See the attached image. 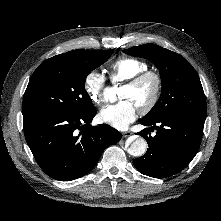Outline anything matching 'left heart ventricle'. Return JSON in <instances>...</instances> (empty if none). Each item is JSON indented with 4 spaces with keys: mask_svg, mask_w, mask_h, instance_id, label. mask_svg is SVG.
Wrapping results in <instances>:
<instances>
[{
    "mask_svg": "<svg viewBox=\"0 0 221 221\" xmlns=\"http://www.w3.org/2000/svg\"><path fill=\"white\" fill-rule=\"evenodd\" d=\"M153 92L152 82H147L140 87L123 85L120 89V97L133 101L139 108L145 104L151 97Z\"/></svg>",
    "mask_w": 221,
    "mask_h": 221,
    "instance_id": "obj_1",
    "label": "left heart ventricle"
}]
</instances>
